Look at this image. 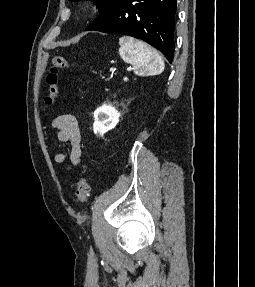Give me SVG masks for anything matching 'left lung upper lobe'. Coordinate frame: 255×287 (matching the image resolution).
<instances>
[{
  "mask_svg": "<svg viewBox=\"0 0 255 287\" xmlns=\"http://www.w3.org/2000/svg\"><path fill=\"white\" fill-rule=\"evenodd\" d=\"M79 1V0H70ZM100 11L105 10L114 0H93Z\"/></svg>",
  "mask_w": 255,
  "mask_h": 287,
  "instance_id": "5c2ea615",
  "label": "left lung upper lobe"
}]
</instances>
